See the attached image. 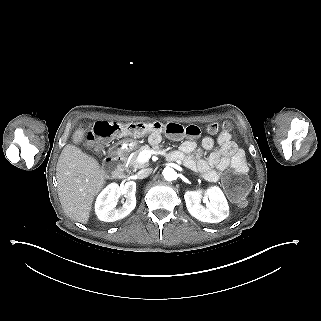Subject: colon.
Returning <instances> with one entry per match:
<instances>
[{
  "mask_svg": "<svg viewBox=\"0 0 321 321\" xmlns=\"http://www.w3.org/2000/svg\"><path fill=\"white\" fill-rule=\"evenodd\" d=\"M231 125L229 122H213L207 126L209 133H216L220 130L228 131ZM147 132L165 134L171 137L187 136L196 138L200 135L201 130L198 126L190 124L182 126L178 123H127L99 121L96 122L92 130L87 134V142L93 146L101 142L122 135H142ZM222 186L228 196L237 202H242L250 188V180L245 172L234 170L224 175Z\"/></svg>",
  "mask_w": 321,
  "mask_h": 321,
  "instance_id": "5ec220e1",
  "label": "colon"
}]
</instances>
